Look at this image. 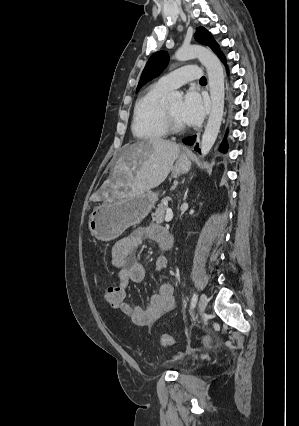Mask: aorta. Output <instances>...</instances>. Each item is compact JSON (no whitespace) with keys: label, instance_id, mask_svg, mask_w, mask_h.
Segmentation results:
<instances>
[{"label":"aorta","instance_id":"obj_1","mask_svg":"<svg viewBox=\"0 0 299 426\" xmlns=\"http://www.w3.org/2000/svg\"><path fill=\"white\" fill-rule=\"evenodd\" d=\"M178 61L198 58L205 66L211 98V113L200 144L201 155L206 156L213 147L218 136L224 114V71L218 57L208 48L200 45H189L179 48L175 53ZM170 101L181 100L182 93L173 91L168 95Z\"/></svg>","mask_w":299,"mask_h":426}]
</instances>
